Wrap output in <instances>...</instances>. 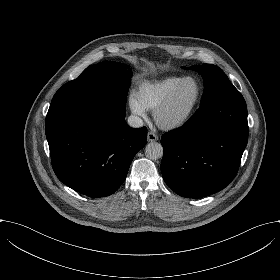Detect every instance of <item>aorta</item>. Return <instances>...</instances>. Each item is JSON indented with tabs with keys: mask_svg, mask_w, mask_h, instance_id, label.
<instances>
[{
	"mask_svg": "<svg viewBox=\"0 0 280 280\" xmlns=\"http://www.w3.org/2000/svg\"><path fill=\"white\" fill-rule=\"evenodd\" d=\"M146 157L151 160L162 158L163 147L158 142H150L145 148Z\"/></svg>",
	"mask_w": 280,
	"mask_h": 280,
	"instance_id": "obj_1",
	"label": "aorta"
}]
</instances>
